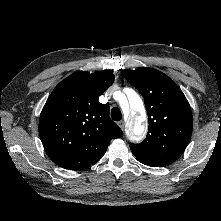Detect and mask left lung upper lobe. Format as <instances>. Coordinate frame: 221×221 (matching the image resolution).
<instances>
[{
  "label": "left lung upper lobe",
  "instance_id": "5c2ea615",
  "mask_svg": "<svg viewBox=\"0 0 221 221\" xmlns=\"http://www.w3.org/2000/svg\"><path fill=\"white\" fill-rule=\"evenodd\" d=\"M125 79L143 95L149 131L140 144H130L137 160L152 167H165L177 160L189 143L193 118L180 88L164 73L147 67L124 70Z\"/></svg>",
  "mask_w": 221,
  "mask_h": 221
}]
</instances>
